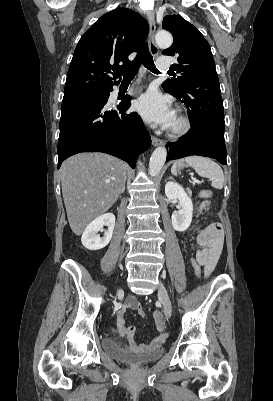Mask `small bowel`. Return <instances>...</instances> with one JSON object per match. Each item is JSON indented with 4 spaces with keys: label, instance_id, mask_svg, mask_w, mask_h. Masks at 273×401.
Listing matches in <instances>:
<instances>
[{
    "label": "small bowel",
    "instance_id": "obj_1",
    "mask_svg": "<svg viewBox=\"0 0 273 401\" xmlns=\"http://www.w3.org/2000/svg\"><path fill=\"white\" fill-rule=\"evenodd\" d=\"M206 228H211V226L208 225ZM197 242L201 249L197 252L196 259L199 260L204 267L205 275L209 276L216 266L217 260L222 250L223 241H201V237L199 235L197 238ZM135 301L136 298L134 296H128L123 305V308L119 311L117 315V328L123 333L125 341L120 339L116 334H114V339L118 344L125 346L127 349L133 352L143 350L154 351L159 348L161 341H165L167 339V329L165 327L160 328V325H163L165 323L164 319L160 318V311H155L154 317L157 318L155 320V323L156 329L158 331V336L148 343H135L133 341V337L135 335L136 328L133 325H126L124 317V311L126 309L135 310Z\"/></svg>",
    "mask_w": 273,
    "mask_h": 401
}]
</instances>
